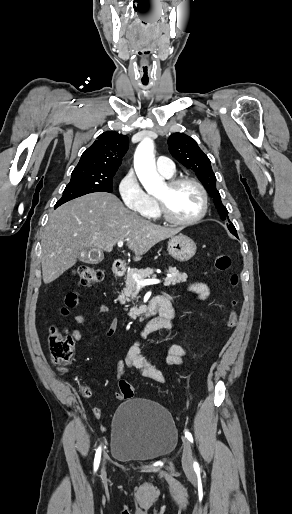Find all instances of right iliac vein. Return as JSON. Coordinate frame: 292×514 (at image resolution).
Instances as JSON below:
<instances>
[{
	"mask_svg": "<svg viewBox=\"0 0 292 514\" xmlns=\"http://www.w3.org/2000/svg\"><path fill=\"white\" fill-rule=\"evenodd\" d=\"M105 463H106V458H104V465H103V468H102V473L105 472Z\"/></svg>",
	"mask_w": 292,
	"mask_h": 514,
	"instance_id": "obj_1",
	"label": "right iliac vein"
}]
</instances>
